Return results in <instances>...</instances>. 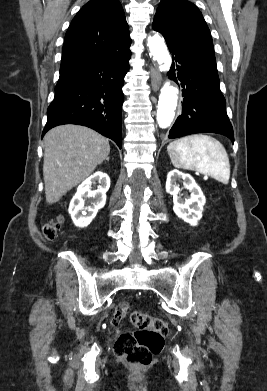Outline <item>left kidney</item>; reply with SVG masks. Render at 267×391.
Returning <instances> with one entry per match:
<instances>
[{
    "mask_svg": "<svg viewBox=\"0 0 267 391\" xmlns=\"http://www.w3.org/2000/svg\"><path fill=\"white\" fill-rule=\"evenodd\" d=\"M180 179H183L184 187L191 192L190 197L183 199L180 196L177 184ZM166 192L173 196L174 213L190 225L196 226L202 217L206 199L193 177L176 169L170 171L166 180Z\"/></svg>",
    "mask_w": 267,
    "mask_h": 391,
    "instance_id": "5707ae66",
    "label": "left kidney"
}]
</instances>
